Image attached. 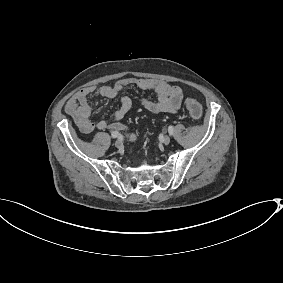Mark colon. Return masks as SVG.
Returning a JSON list of instances; mask_svg holds the SVG:
<instances>
[{"mask_svg": "<svg viewBox=\"0 0 283 283\" xmlns=\"http://www.w3.org/2000/svg\"><path fill=\"white\" fill-rule=\"evenodd\" d=\"M186 109L193 119H200L203 114L201 103L193 98L186 101Z\"/></svg>", "mask_w": 283, "mask_h": 283, "instance_id": "1", "label": "colon"}]
</instances>
